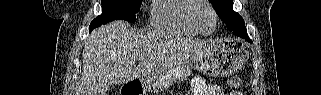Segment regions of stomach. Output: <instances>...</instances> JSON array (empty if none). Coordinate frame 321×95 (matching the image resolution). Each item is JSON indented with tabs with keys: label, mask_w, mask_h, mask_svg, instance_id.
I'll return each instance as SVG.
<instances>
[{
	"label": "stomach",
	"mask_w": 321,
	"mask_h": 95,
	"mask_svg": "<svg viewBox=\"0 0 321 95\" xmlns=\"http://www.w3.org/2000/svg\"><path fill=\"white\" fill-rule=\"evenodd\" d=\"M246 58L247 50L237 41H208L189 58L148 79L144 91L162 90L172 83L182 82L191 75L193 68L207 75L224 77L240 69Z\"/></svg>",
	"instance_id": "stomach-1"
}]
</instances>
